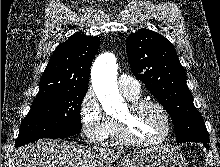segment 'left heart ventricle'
Instances as JSON below:
<instances>
[{"label": "left heart ventricle", "instance_id": "b2bd125f", "mask_svg": "<svg viewBox=\"0 0 220 167\" xmlns=\"http://www.w3.org/2000/svg\"><path fill=\"white\" fill-rule=\"evenodd\" d=\"M118 118L129 121L133 136L142 140L159 138L166 127L162 113L153 106H145L134 115H131L127 106Z\"/></svg>", "mask_w": 220, "mask_h": 167}]
</instances>
